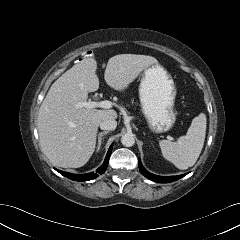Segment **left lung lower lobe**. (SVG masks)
<instances>
[{
    "mask_svg": "<svg viewBox=\"0 0 240 240\" xmlns=\"http://www.w3.org/2000/svg\"><path fill=\"white\" fill-rule=\"evenodd\" d=\"M139 170L146 178H148L154 182H159V183H169L172 181H176L186 175V174H184V175H179V176H166V177L157 176V175L151 174L147 170H145L144 167L142 166L140 160H139Z\"/></svg>",
    "mask_w": 240,
    "mask_h": 240,
    "instance_id": "1",
    "label": "left lung lower lobe"
}]
</instances>
